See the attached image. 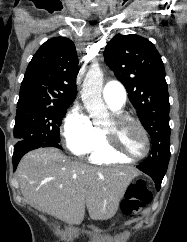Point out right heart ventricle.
<instances>
[{"label":"right heart ventricle","instance_id":"right-heart-ventricle-1","mask_svg":"<svg viewBox=\"0 0 187 242\" xmlns=\"http://www.w3.org/2000/svg\"><path fill=\"white\" fill-rule=\"evenodd\" d=\"M116 111V110H115ZM100 131L99 143L89 152V161L93 164L108 165L127 163L128 159L113 154L107 147L103 130Z\"/></svg>","mask_w":187,"mask_h":242}]
</instances>
